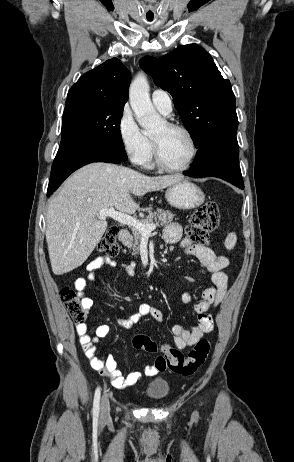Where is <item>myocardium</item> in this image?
Segmentation results:
<instances>
[{
    "mask_svg": "<svg viewBox=\"0 0 294 462\" xmlns=\"http://www.w3.org/2000/svg\"><path fill=\"white\" fill-rule=\"evenodd\" d=\"M165 124L169 129L179 130L185 133V135L188 137L190 144H191V148H192L191 154H190L188 161L182 166L167 165L162 159L161 150H160L158 141L154 137H152L154 163L160 170L165 171V172H170V173L184 172L193 165V163L195 162L198 156L199 146H198L197 140L193 132L187 126L180 124V123H176V122H170V121L165 122Z\"/></svg>",
    "mask_w": 294,
    "mask_h": 462,
    "instance_id": "1",
    "label": "myocardium"
}]
</instances>
